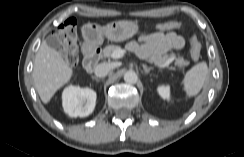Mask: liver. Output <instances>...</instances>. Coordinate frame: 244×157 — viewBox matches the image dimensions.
<instances>
[{
  "label": "liver",
  "instance_id": "obj_1",
  "mask_svg": "<svg viewBox=\"0 0 244 157\" xmlns=\"http://www.w3.org/2000/svg\"><path fill=\"white\" fill-rule=\"evenodd\" d=\"M73 75L69 62L61 53L43 41L34 60L33 80L43 103L48 104L56 91L67 84Z\"/></svg>",
  "mask_w": 244,
  "mask_h": 157
}]
</instances>
